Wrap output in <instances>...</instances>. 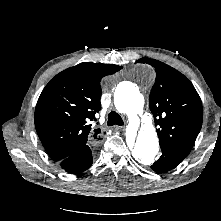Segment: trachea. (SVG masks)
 I'll return each instance as SVG.
<instances>
[{
    "label": "trachea",
    "instance_id": "obj_1",
    "mask_svg": "<svg viewBox=\"0 0 221 221\" xmlns=\"http://www.w3.org/2000/svg\"><path fill=\"white\" fill-rule=\"evenodd\" d=\"M123 124H124L123 119L118 113H116L115 111L109 113L107 121L108 126H113V125L122 126Z\"/></svg>",
    "mask_w": 221,
    "mask_h": 221
}]
</instances>
